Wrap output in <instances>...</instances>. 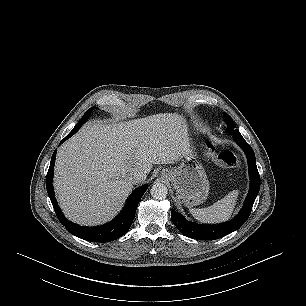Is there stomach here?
I'll return each mask as SVG.
<instances>
[{"label":"stomach","mask_w":306,"mask_h":306,"mask_svg":"<svg viewBox=\"0 0 306 306\" xmlns=\"http://www.w3.org/2000/svg\"><path fill=\"white\" fill-rule=\"evenodd\" d=\"M161 177L169 181L177 192L178 200L187 207L203 203L209 193V181L204 168L193 150L180 157V164L174 169H164Z\"/></svg>","instance_id":"1"}]
</instances>
